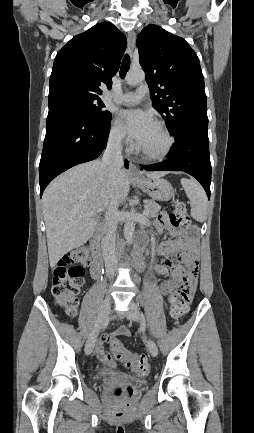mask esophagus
Instances as JSON below:
<instances>
[{"label":"esophagus","mask_w":254,"mask_h":433,"mask_svg":"<svg viewBox=\"0 0 254 433\" xmlns=\"http://www.w3.org/2000/svg\"><path fill=\"white\" fill-rule=\"evenodd\" d=\"M135 38H136V34L134 31L128 32V35H127L128 52L131 56L133 55V51H134ZM129 175L133 178H140L141 177V175L139 174V172L137 170V166L133 163L130 164Z\"/></svg>","instance_id":"34e87169"}]
</instances>
